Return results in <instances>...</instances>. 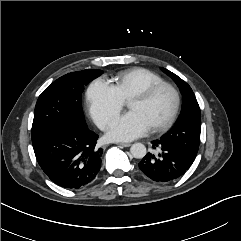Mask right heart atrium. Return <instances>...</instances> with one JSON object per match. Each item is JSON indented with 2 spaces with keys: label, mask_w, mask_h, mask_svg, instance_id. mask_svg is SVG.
<instances>
[{
  "label": "right heart atrium",
  "mask_w": 241,
  "mask_h": 241,
  "mask_svg": "<svg viewBox=\"0 0 241 241\" xmlns=\"http://www.w3.org/2000/svg\"><path fill=\"white\" fill-rule=\"evenodd\" d=\"M86 98L89 113L101 129H104L124 107V101L115 87L101 78L91 82L86 92Z\"/></svg>",
  "instance_id": "right-heart-atrium-1"
}]
</instances>
